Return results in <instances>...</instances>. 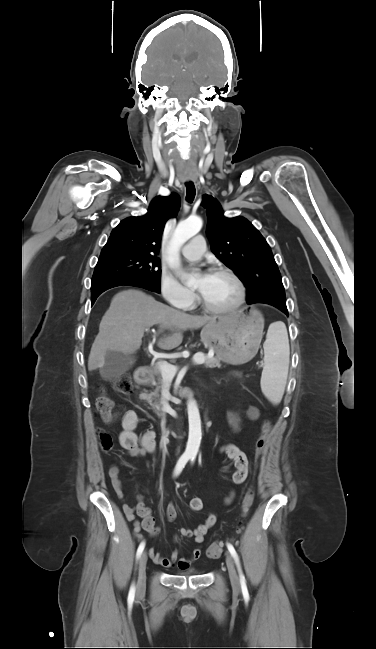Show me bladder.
I'll list each match as a JSON object with an SVG mask.
<instances>
[{
    "mask_svg": "<svg viewBox=\"0 0 376 649\" xmlns=\"http://www.w3.org/2000/svg\"><path fill=\"white\" fill-rule=\"evenodd\" d=\"M197 570L194 568L188 569L186 571H182L181 574L189 575V574H196Z\"/></svg>",
    "mask_w": 376,
    "mask_h": 649,
    "instance_id": "1",
    "label": "bladder"
}]
</instances>
